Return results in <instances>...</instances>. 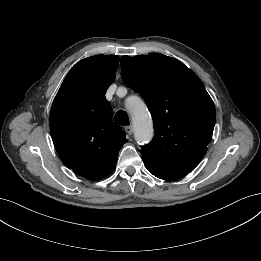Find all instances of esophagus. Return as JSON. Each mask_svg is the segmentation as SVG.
Segmentation results:
<instances>
[{
	"label": "esophagus",
	"mask_w": 261,
	"mask_h": 261,
	"mask_svg": "<svg viewBox=\"0 0 261 261\" xmlns=\"http://www.w3.org/2000/svg\"><path fill=\"white\" fill-rule=\"evenodd\" d=\"M125 132H126L128 135H132V133H133V128H132V126H131V125L126 126V127H125Z\"/></svg>",
	"instance_id": "1"
}]
</instances>
